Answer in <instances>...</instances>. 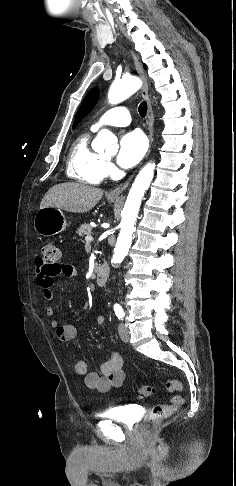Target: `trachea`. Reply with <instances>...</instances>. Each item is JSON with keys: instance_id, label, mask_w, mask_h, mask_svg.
<instances>
[{"instance_id": "3493384b", "label": "trachea", "mask_w": 236, "mask_h": 486, "mask_svg": "<svg viewBox=\"0 0 236 486\" xmlns=\"http://www.w3.org/2000/svg\"><path fill=\"white\" fill-rule=\"evenodd\" d=\"M138 111H139V114L141 117H145L146 113H147V103L146 101H143L139 108H138Z\"/></svg>"}]
</instances>
